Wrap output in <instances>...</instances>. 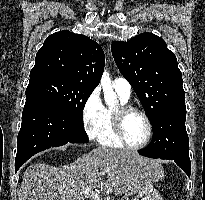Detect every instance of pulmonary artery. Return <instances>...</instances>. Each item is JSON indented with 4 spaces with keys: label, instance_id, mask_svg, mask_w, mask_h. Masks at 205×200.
I'll return each instance as SVG.
<instances>
[{
    "label": "pulmonary artery",
    "instance_id": "obj_1",
    "mask_svg": "<svg viewBox=\"0 0 205 200\" xmlns=\"http://www.w3.org/2000/svg\"><path fill=\"white\" fill-rule=\"evenodd\" d=\"M112 86L115 89V91L120 95H122L123 97L125 98L130 97L131 85L125 78L122 77L115 78L112 82Z\"/></svg>",
    "mask_w": 205,
    "mask_h": 200
}]
</instances>
